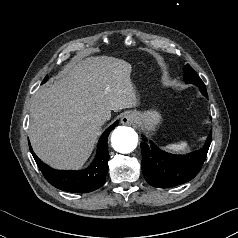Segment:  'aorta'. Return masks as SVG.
Returning a JSON list of instances; mask_svg holds the SVG:
<instances>
[{"mask_svg":"<svg viewBox=\"0 0 238 238\" xmlns=\"http://www.w3.org/2000/svg\"><path fill=\"white\" fill-rule=\"evenodd\" d=\"M111 144L115 151L131 153L138 144V135L131 127L118 126L112 133Z\"/></svg>","mask_w":238,"mask_h":238,"instance_id":"aorta-1","label":"aorta"}]
</instances>
